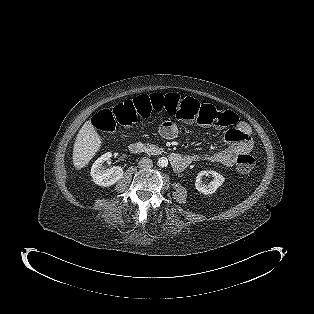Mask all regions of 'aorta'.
<instances>
[{"mask_svg": "<svg viewBox=\"0 0 314 314\" xmlns=\"http://www.w3.org/2000/svg\"><path fill=\"white\" fill-rule=\"evenodd\" d=\"M157 164L159 167H166L168 165V159L166 157H161L158 159Z\"/></svg>", "mask_w": 314, "mask_h": 314, "instance_id": "1", "label": "aorta"}]
</instances>
